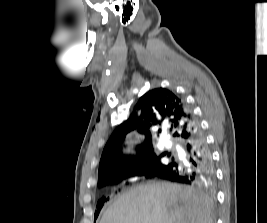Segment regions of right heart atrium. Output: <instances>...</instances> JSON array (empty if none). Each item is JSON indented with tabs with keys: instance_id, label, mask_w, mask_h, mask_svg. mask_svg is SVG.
Here are the masks:
<instances>
[{
	"instance_id": "obj_1",
	"label": "right heart atrium",
	"mask_w": 267,
	"mask_h": 223,
	"mask_svg": "<svg viewBox=\"0 0 267 223\" xmlns=\"http://www.w3.org/2000/svg\"><path fill=\"white\" fill-rule=\"evenodd\" d=\"M139 175L138 174H133L131 176H129L128 178H126L123 182L122 185L128 184V183H132L135 182L136 180H138Z\"/></svg>"
}]
</instances>
